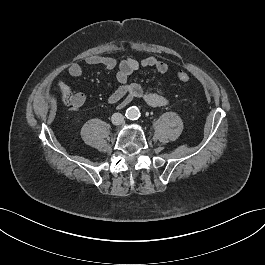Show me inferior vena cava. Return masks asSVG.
Segmentation results:
<instances>
[{
    "label": "inferior vena cava",
    "mask_w": 265,
    "mask_h": 265,
    "mask_svg": "<svg viewBox=\"0 0 265 265\" xmlns=\"http://www.w3.org/2000/svg\"><path fill=\"white\" fill-rule=\"evenodd\" d=\"M111 121L114 125H121L124 121V116L121 113H114L111 117Z\"/></svg>",
    "instance_id": "1"
}]
</instances>
